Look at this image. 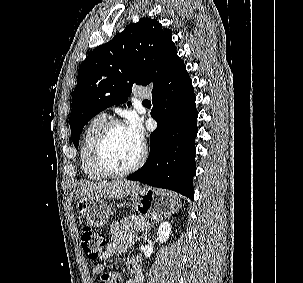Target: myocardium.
Segmentation results:
<instances>
[{
	"label": "myocardium",
	"instance_id": "obj_1",
	"mask_svg": "<svg viewBox=\"0 0 303 283\" xmlns=\"http://www.w3.org/2000/svg\"><path fill=\"white\" fill-rule=\"evenodd\" d=\"M125 124L118 119L108 120L97 134L93 148L92 158L95 167L106 177L117 178L129 175L139 169L145 161L146 150L141 146L140 153L135 162L127 168L115 169L113 168L106 157V144L112 130L116 127H123Z\"/></svg>",
	"mask_w": 303,
	"mask_h": 283
}]
</instances>
